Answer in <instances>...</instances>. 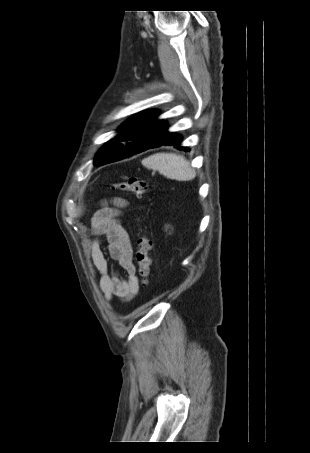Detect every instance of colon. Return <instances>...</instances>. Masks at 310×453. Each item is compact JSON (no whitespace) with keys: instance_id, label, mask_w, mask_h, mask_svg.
I'll return each mask as SVG.
<instances>
[{"instance_id":"1","label":"colon","mask_w":310,"mask_h":453,"mask_svg":"<svg viewBox=\"0 0 310 453\" xmlns=\"http://www.w3.org/2000/svg\"><path fill=\"white\" fill-rule=\"evenodd\" d=\"M115 190L129 192L137 196L143 195L149 189V183L140 178H129L112 185ZM152 248L151 240L142 234L138 240V249L136 252V262L138 266V273L145 285L148 283L151 276V258L150 250Z\"/></svg>"}]
</instances>
